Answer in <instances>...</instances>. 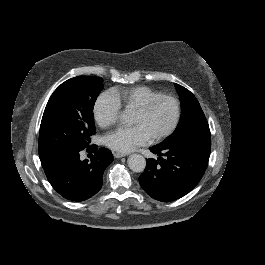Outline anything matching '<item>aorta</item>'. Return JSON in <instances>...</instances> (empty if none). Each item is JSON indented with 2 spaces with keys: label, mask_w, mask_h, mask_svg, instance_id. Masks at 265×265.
<instances>
[{
  "label": "aorta",
  "mask_w": 265,
  "mask_h": 265,
  "mask_svg": "<svg viewBox=\"0 0 265 265\" xmlns=\"http://www.w3.org/2000/svg\"><path fill=\"white\" fill-rule=\"evenodd\" d=\"M128 167L136 173L143 172L146 166L145 158L140 154H131L127 160Z\"/></svg>",
  "instance_id": "1"
}]
</instances>
